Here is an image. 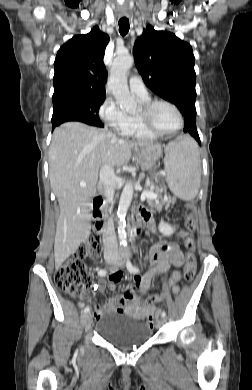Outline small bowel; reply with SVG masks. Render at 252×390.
Here are the masks:
<instances>
[{
  "label": "small bowel",
  "instance_id": "c3829d8e",
  "mask_svg": "<svg viewBox=\"0 0 252 390\" xmlns=\"http://www.w3.org/2000/svg\"><path fill=\"white\" fill-rule=\"evenodd\" d=\"M142 217L146 227L151 231H155L152 215L145 208L142 209ZM149 257L153 265L152 269L141 277H136L130 291L123 295L109 298L102 306L96 307V319L112 313L124 314L137 320L147 319L150 315H153L155 312L154 303L147 304L146 300V303L142 305V296L149 290L153 277L168 270H172L168 286L174 294L178 293L182 276L177 268L182 266L184 262V256L178 246L175 243L167 244L159 241L150 249ZM121 278L122 274L118 272L113 273L108 281L100 278L97 283L98 291L104 293L106 289L114 290ZM82 306L83 304H80V307Z\"/></svg>",
  "mask_w": 252,
  "mask_h": 390
}]
</instances>
